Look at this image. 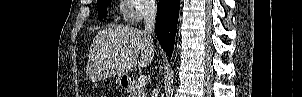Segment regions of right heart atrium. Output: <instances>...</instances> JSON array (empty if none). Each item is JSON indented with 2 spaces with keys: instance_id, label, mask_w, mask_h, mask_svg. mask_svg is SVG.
<instances>
[{
  "instance_id": "1",
  "label": "right heart atrium",
  "mask_w": 302,
  "mask_h": 97,
  "mask_svg": "<svg viewBox=\"0 0 302 97\" xmlns=\"http://www.w3.org/2000/svg\"><path fill=\"white\" fill-rule=\"evenodd\" d=\"M129 3L131 6L126 10L124 17L127 22L132 24L141 22L155 11L152 1L130 0Z\"/></svg>"
}]
</instances>
